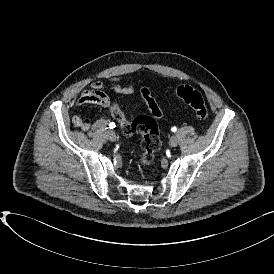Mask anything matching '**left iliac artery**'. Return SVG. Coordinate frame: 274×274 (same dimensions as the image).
Returning <instances> with one entry per match:
<instances>
[{"label": "left iliac artery", "instance_id": "obj_1", "mask_svg": "<svg viewBox=\"0 0 274 274\" xmlns=\"http://www.w3.org/2000/svg\"><path fill=\"white\" fill-rule=\"evenodd\" d=\"M171 130H172L173 132H176V131H177V128H176V127H172Z\"/></svg>", "mask_w": 274, "mask_h": 274}]
</instances>
